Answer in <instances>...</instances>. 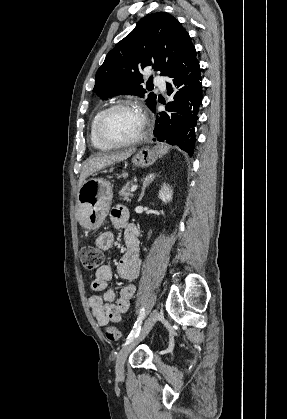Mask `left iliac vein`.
Segmentation results:
<instances>
[{
  "label": "left iliac vein",
  "mask_w": 287,
  "mask_h": 419,
  "mask_svg": "<svg viewBox=\"0 0 287 419\" xmlns=\"http://www.w3.org/2000/svg\"><path fill=\"white\" fill-rule=\"evenodd\" d=\"M159 317L160 316L158 311L154 309L145 321L139 334L123 346L116 360V373L118 377H123L124 375V363L128 354L137 344H139L148 335V333L150 332L154 324L157 322Z\"/></svg>",
  "instance_id": "4c4485c4"
}]
</instances>
